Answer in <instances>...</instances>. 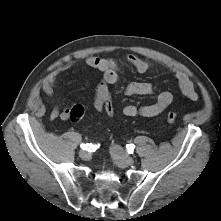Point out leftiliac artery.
<instances>
[{
  "label": "left iliac artery",
  "mask_w": 221,
  "mask_h": 221,
  "mask_svg": "<svg viewBox=\"0 0 221 221\" xmlns=\"http://www.w3.org/2000/svg\"><path fill=\"white\" fill-rule=\"evenodd\" d=\"M126 147H127V150L129 151V153H132L134 151L135 145L134 144H128Z\"/></svg>",
  "instance_id": "left-iliac-artery-1"
}]
</instances>
